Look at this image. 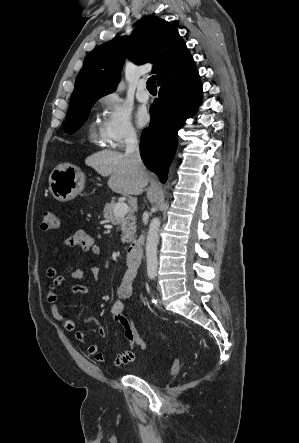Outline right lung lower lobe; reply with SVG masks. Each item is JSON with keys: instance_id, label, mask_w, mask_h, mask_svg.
I'll return each instance as SVG.
<instances>
[{"instance_id": "1", "label": "right lung lower lobe", "mask_w": 299, "mask_h": 443, "mask_svg": "<svg viewBox=\"0 0 299 443\" xmlns=\"http://www.w3.org/2000/svg\"><path fill=\"white\" fill-rule=\"evenodd\" d=\"M158 85L159 96L150 106V125L141 135L140 154L144 164L165 182L177 146V131L196 113L202 84L195 67Z\"/></svg>"}]
</instances>
